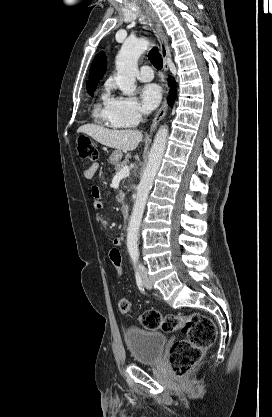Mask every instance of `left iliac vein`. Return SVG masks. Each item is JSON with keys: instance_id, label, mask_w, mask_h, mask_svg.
I'll list each match as a JSON object with an SVG mask.
<instances>
[{"instance_id": "left-iliac-vein-1", "label": "left iliac vein", "mask_w": 272, "mask_h": 417, "mask_svg": "<svg viewBox=\"0 0 272 417\" xmlns=\"http://www.w3.org/2000/svg\"><path fill=\"white\" fill-rule=\"evenodd\" d=\"M143 276H144V284H145V287H146L147 289H151V288H152V284H151V282L147 279V277H146V275H145V274H144Z\"/></svg>"}]
</instances>
